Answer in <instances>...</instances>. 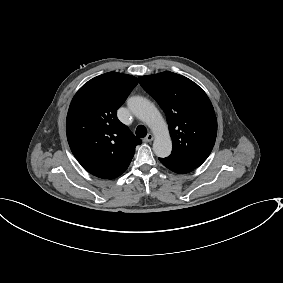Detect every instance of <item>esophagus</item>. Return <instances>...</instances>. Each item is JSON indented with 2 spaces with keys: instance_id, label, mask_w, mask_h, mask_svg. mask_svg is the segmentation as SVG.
I'll return each mask as SVG.
<instances>
[{
  "instance_id": "obj_1",
  "label": "esophagus",
  "mask_w": 283,
  "mask_h": 283,
  "mask_svg": "<svg viewBox=\"0 0 283 283\" xmlns=\"http://www.w3.org/2000/svg\"><path fill=\"white\" fill-rule=\"evenodd\" d=\"M154 139V136L151 134V133H149L144 139H143V141L144 142H150V141H152Z\"/></svg>"
}]
</instances>
